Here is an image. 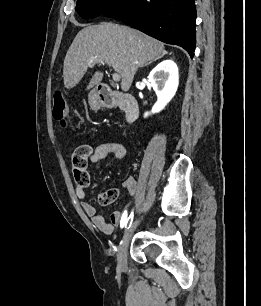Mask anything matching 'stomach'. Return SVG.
Returning a JSON list of instances; mask_svg holds the SVG:
<instances>
[{"instance_id": "obj_1", "label": "stomach", "mask_w": 261, "mask_h": 306, "mask_svg": "<svg viewBox=\"0 0 261 306\" xmlns=\"http://www.w3.org/2000/svg\"><path fill=\"white\" fill-rule=\"evenodd\" d=\"M88 101H89L90 107L94 110L99 109L102 105L100 95L96 90H93L89 93Z\"/></svg>"}]
</instances>
